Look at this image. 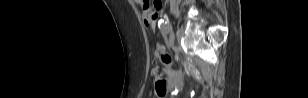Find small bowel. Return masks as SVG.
Instances as JSON below:
<instances>
[{
    "mask_svg": "<svg viewBox=\"0 0 308 98\" xmlns=\"http://www.w3.org/2000/svg\"><path fill=\"white\" fill-rule=\"evenodd\" d=\"M136 2H137V4H139L143 9H150V8H149V4H148L147 1H144V0H136ZM161 7H162V4H160V6L158 7V9H161ZM152 24H153V22H152ZM166 74H167V78H168V79H171V78L173 77V74H172L171 71H167ZM161 79H162V78H161ZM165 89H166V84H165Z\"/></svg>",
    "mask_w": 308,
    "mask_h": 98,
    "instance_id": "obj_1",
    "label": "small bowel"
}]
</instances>
